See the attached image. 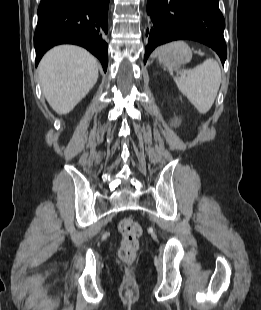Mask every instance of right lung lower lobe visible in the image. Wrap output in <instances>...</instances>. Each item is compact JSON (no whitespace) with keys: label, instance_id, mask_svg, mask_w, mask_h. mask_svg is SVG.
<instances>
[{"label":"right lung lower lobe","instance_id":"1","mask_svg":"<svg viewBox=\"0 0 261 310\" xmlns=\"http://www.w3.org/2000/svg\"><path fill=\"white\" fill-rule=\"evenodd\" d=\"M109 0H41L34 34L36 66L57 44L71 43L89 50L107 69V15Z\"/></svg>","mask_w":261,"mask_h":310}]
</instances>
